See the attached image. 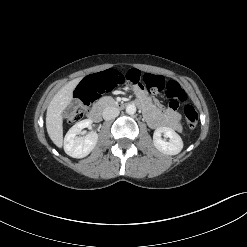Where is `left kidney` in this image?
<instances>
[{"label": "left kidney", "mask_w": 247, "mask_h": 247, "mask_svg": "<svg viewBox=\"0 0 247 247\" xmlns=\"http://www.w3.org/2000/svg\"><path fill=\"white\" fill-rule=\"evenodd\" d=\"M162 135L169 138V141L162 139ZM153 143L156 149L167 155H177L183 148L181 137L169 127H159L154 131Z\"/></svg>", "instance_id": "obj_1"}]
</instances>
